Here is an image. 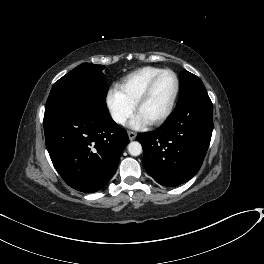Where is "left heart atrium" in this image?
<instances>
[{"label": "left heart atrium", "instance_id": "39dd6f15", "mask_svg": "<svg viewBox=\"0 0 264 264\" xmlns=\"http://www.w3.org/2000/svg\"><path fill=\"white\" fill-rule=\"evenodd\" d=\"M148 121L139 113H137L130 122V126L133 128H139L147 124Z\"/></svg>", "mask_w": 264, "mask_h": 264}]
</instances>
